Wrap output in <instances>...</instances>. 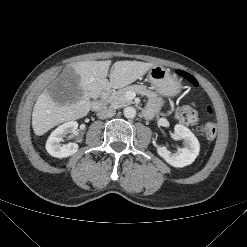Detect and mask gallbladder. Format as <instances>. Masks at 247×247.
Wrapping results in <instances>:
<instances>
[{
	"label": "gallbladder",
	"instance_id": "bac80fb5",
	"mask_svg": "<svg viewBox=\"0 0 247 247\" xmlns=\"http://www.w3.org/2000/svg\"><path fill=\"white\" fill-rule=\"evenodd\" d=\"M70 83L71 82L67 77L61 75L56 81H54L53 84L49 86L47 90L53 98H54L53 94L60 95L63 93H69L67 96L69 97L70 100H72L75 98L74 94L76 93V89L70 86Z\"/></svg>",
	"mask_w": 247,
	"mask_h": 247
}]
</instances>
